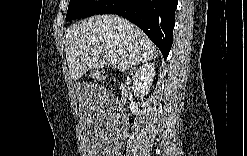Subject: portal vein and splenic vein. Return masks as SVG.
<instances>
[{"instance_id":"18ae733b","label":"portal vein and splenic vein","mask_w":247,"mask_h":156,"mask_svg":"<svg viewBox=\"0 0 247 156\" xmlns=\"http://www.w3.org/2000/svg\"><path fill=\"white\" fill-rule=\"evenodd\" d=\"M109 62H110V64L111 65H113V66H116L117 65V63H116V60L115 59H112V58H109V60H108Z\"/></svg>"}]
</instances>
